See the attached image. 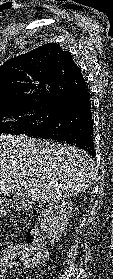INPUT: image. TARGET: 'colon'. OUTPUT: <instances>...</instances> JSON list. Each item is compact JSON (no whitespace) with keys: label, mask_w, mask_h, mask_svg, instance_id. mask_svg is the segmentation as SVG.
<instances>
[{"label":"colon","mask_w":113,"mask_h":279,"mask_svg":"<svg viewBox=\"0 0 113 279\" xmlns=\"http://www.w3.org/2000/svg\"><path fill=\"white\" fill-rule=\"evenodd\" d=\"M46 242L40 237L39 231L35 230L31 234V240L24 251H18L16 249H10L0 244V264L6 265L10 262L19 264L20 262H26L30 258L38 257L45 252Z\"/></svg>","instance_id":"5ec220e1"}]
</instances>
